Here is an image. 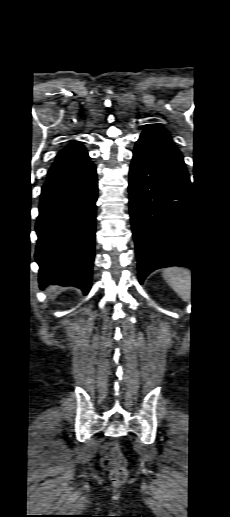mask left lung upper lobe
Masks as SVG:
<instances>
[{
    "label": "left lung upper lobe",
    "instance_id": "1",
    "mask_svg": "<svg viewBox=\"0 0 230 517\" xmlns=\"http://www.w3.org/2000/svg\"><path fill=\"white\" fill-rule=\"evenodd\" d=\"M140 139H145V140L153 141L156 143L165 144V145H168V146H171V147L177 149L174 146L173 141L171 140V138L168 134L163 133L153 127H146L144 129L143 133L141 134Z\"/></svg>",
    "mask_w": 230,
    "mask_h": 517
}]
</instances>
